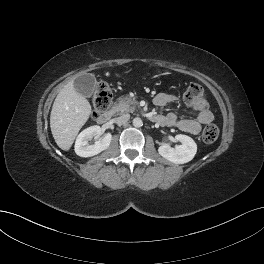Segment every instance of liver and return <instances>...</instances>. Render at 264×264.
Instances as JSON below:
<instances>
[{
	"label": "liver",
	"instance_id": "6515ba94",
	"mask_svg": "<svg viewBox=\"0 0 264 264\" xmlns=\"http://www.w3.org/2000/svg\"><path fill=\"white\" fill-rule=\"evenodd\" d=\"M91 114L88 100L69 81L58 93L51 110L50 127L57 145L68 151Z\"/></svg>",
	"mask_w": 264,
	"mask_h": 264
}]
</instances>
